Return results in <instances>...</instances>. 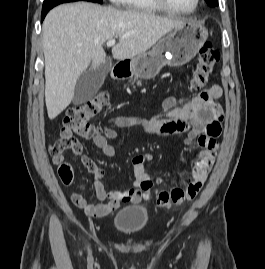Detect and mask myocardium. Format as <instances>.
Masks as SVG:
<instances>
[{
	"instance_id": "1",
	"label": "myocardium",
	"mask_w": 265,
	"mask_h": 269,
	"mask_svg": "<svg viewBox=\"0 0 265 269\" xmlns=\"http://www.w3.org/2000/svg\"><path fill=\"white\" fill-rule=\"evenodd\" d=\"M153 2L159 6L162 10L170 13H175V14H191L194 13L197 8L199 7L200 0H195V4L192 9L190 10H181L172 7L166 0H153Z\"/></svg>"
}]
</instances>
